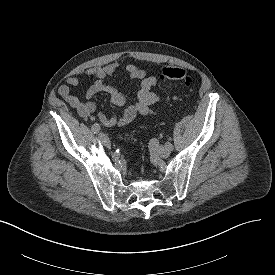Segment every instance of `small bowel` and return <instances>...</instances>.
<instances>
[{
    "label": "small bowel",
    "mask_w": 275,
    "mask_h": 275,
    "mask_svg": "<svg viewBox=\"0 0 275 275\" xmlns=\"http://www.w3.org/2000/svg\"><path fill=\"white\" fill-rule=\"evenodd\" d=\"M119 68V62H111L104 66H93L84 70L82 72L84 76L95 79L94 83L87 89L84 100L71 94V87L81 84V79L75 76L66 78L65 84L58 88V94L76 109L81 118L95 121L105 127H123L133 122L139 114L144 116L157 114L161 101V96L153 91L158 82L157 78L136 65L125 66L123 73L131 79L139 81L137 100L130 103V99L125 94L106 82V79L115 75ZM101 92H107L110 95V101L113 105L125 107L121 116L112 115L108 117L97 109L91 99Z\"/></svg>",
    "instance_id": "c3829d8e"
}]
</instances>
